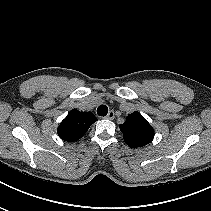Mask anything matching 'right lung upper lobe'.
I'll use <instances>...</instances> for the list:
<instances>
[{"mask_svg": "<svg viewBox=\"0 0 211 211\" xmlns=\"http://www.w3.org/2000/svg\"><path fill=\"white\" fill-rule=\"evenodd\" d=\"M97 121L92 112H80L71 110L66 118L61 122L57 129L59 137L67 142H73L80 139Z\"/></svg>", "mask_w": 211, "mask_h": 211, "instance_id": "1", "label": "right lung upper lobe"}]
</instances>
